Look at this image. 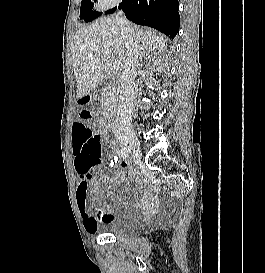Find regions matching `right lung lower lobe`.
I'll list each match as a JSON object with an SVG mask.
<instances>
[{"mask_svg": "<svg viewBox=\"0 0 265 273\" xmlns=\"http://www.w3.org/2000/svg\"><path fill=\"white\" fill-rule=\"evenodd\" d=\"M178 8V0H122L119 5L132 22L155 28L170 38L179 30Z\"/></svg>", "mask_w": 265, "mask_h": 273, "instance_id": "right-lung-lower-lobe-1", "label": "right lung lower lobe"}]
</instances>
